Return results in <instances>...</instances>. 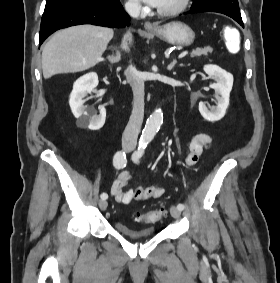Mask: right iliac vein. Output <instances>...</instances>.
<instances>
[{
  "instance_id": "1",
  "label": "right iliac vein",
  "mask_w": 280,
  "mask_h": 283,
  "mask_svg": "<svg viewBox=\"0 0 280 283\" xmlns=\"http://www.w3.org/2000/svg\"><path fill=\"white\" fill-rule=\"evenodd\" d=\"M124 149L125 150H129L130 146L129 145H125ZM107 206H108V203H107L106 200L102 199V200L99 201V207H100L101 210H103V211L106 210Z\"/></svg>"
}]
</instances>
